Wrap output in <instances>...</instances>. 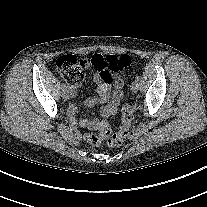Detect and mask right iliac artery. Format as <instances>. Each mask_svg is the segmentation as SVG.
Segmentation results:
<instances>
[{
    "label": "right iliac artery",
    "instance_id": "obj_1",
    "mask_svg": "<svg viewBox=\"0 0 207 207\" xmlns=\"http://www.w3.org/2000/svg\"><path fill=\"white\" fill-rule=\"evenodd\" d=\"M62 88H63V90H64V89H66V86H65L64 84H62Z\"/></svg>",
    "mask_w": 207,
    "mask_h": 207
}]
</instances>
